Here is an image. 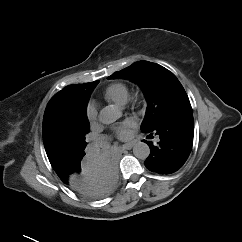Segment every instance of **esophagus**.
I'll return each instance as SVG.
<instances>
[{
	"label": "esophagus",
	"mask_w": 242,
	"mask_h": 242,
	"mask_svg": "<svg viewBox=\"0 0 242 242\" xmlns=\"http://www.w3.org/2000/svg\"><path fill=\"white\" fill-rule=\"evenodd\" d=\"M134 146V143H126L124 145H122V150H130L132 149V147Z\"/></svg>",
	"instance_id": "34e87169"
}]
</instances>
